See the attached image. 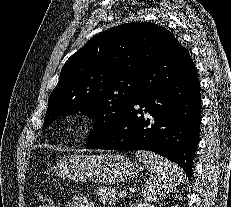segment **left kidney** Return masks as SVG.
<instances>
[{
    "label": "left kidney",
    "mask_w": 231,
    "mask_h": 207,
    "mask_svg": "<svg viewBox=\"0 0 231 207\" xmlns=\"http://www.w3.org/2000/svg\"><path fill=\"white\" fill-rule=\"evenodd\" d=\"M130 207H154V206L147 202H143V203L139 202V203L132 204Z\"/></svg>",
    "instance_id": "1"
}]
</instances>
